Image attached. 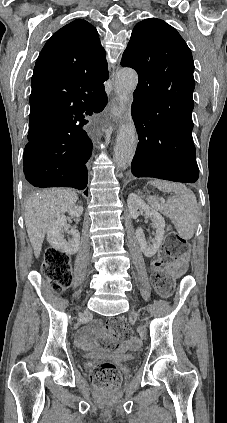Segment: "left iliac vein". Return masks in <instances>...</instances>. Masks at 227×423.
<instances>
[{"mask_svg": "<svg viewBox=\"0 0 227 423\" xmlns=\"http://www.w3.org/2000/svg\"><path fill=\"white\" fill-rule=\"evenodd\" d=\"M131 315L133 317H135V318H138L139 317V314L137 312H135V311H132Z\"/></svg>", "mask_w": 227, "mask_h": 423, "instance_id": "left-iliac-vein-1", "label": "left iliac vein"}]
</instances>
